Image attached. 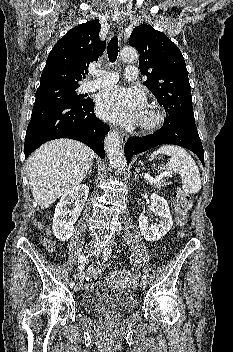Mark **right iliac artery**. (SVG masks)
<instances>
[{
  "label": "right iliac artery",
  "instance_id": "right-iliac-artery-1",
  "mask_svg": "<svg viewBox=\"0 0 233 352\" xmlns=\"http://www.w3.org/2000/svg\"><path fill=\"white\" fill-rule=\"evenodd\" d=\"M88 259H89L88 256H85V255H81V256L78 257V261L81 263V266H83V263L88 261ZM70 287L74 288L75 287V283L71 282L70 283Z\"/></svg>",
  "mask_w": 233,
  "mask_h": 352
}]
</instances>
